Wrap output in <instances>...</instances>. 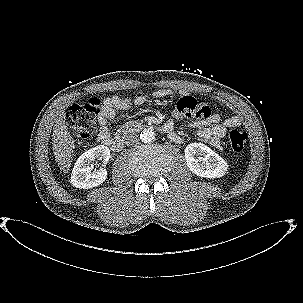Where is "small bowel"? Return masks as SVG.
<instances>
[{
    "label": "small bowel",
    "instance_id": "c3829d8e",
    "mask_svg": "<svg viewBox=\"0 0 303 303\" xmlns=\"http://www.w3.org/2000/svg\"><path fill=\"white\" fill-rule=\"evenodd\" d=\"M178 96L179 95L172 90L160 89L151 94L139 95L134 100V104L136 106H142L149 97L175 99ZM180 96L183 97L188 95L180 94ZM131 107L132 101L130 99L117 95L106 97L103 100L97 117L99 124L98 140L100 142L106 144L111 138V129L108 125V121L115 116V110H127ZM202 111L204 112V116L191 123L190 127L198 128V136L203 140L209 141L217 148H220V140L225 136L228 128H234L241 125V119L236 115L221 121L220 116L217 113L212 112L211 108L206 104L202 105ZM163 127L172 134L170 137L172 141L176 143L182 141V138L173 129L172 119L167 120Z\"/></svg>",
    "mask_w": 303,
    "mask_h": 303
}]
</instances>
